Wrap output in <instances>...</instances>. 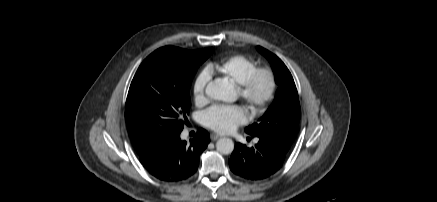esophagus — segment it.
Returning <instances> with one entry per match:
<instances>
[{"mask_svg":"<svg viewBox=\"0 0 437 202\" xmlns=\"http://www.w3.org/2000/svg\"><path fill=\"white\" fill-rule=\"evenodd\" d=\"M210 137H211L212 141H216V140H218L220 138V136L215 134V133H212Z\"/></svg>","mask_w":437,"mask_h":202,"instance_id":"34e87169","label":"esophagus"}]
</instances>
